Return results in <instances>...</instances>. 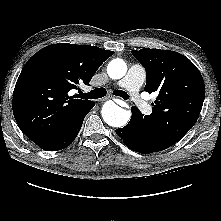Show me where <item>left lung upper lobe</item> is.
<instances>
[{
    "mask_svg": "<svg viewBox=\"0 0 221 221\" xmlns=\"http://www.w3.org/2000/svg\"><path fill=\"white\" fill-rule=\"evenodd\" d=\"M131 53L146 69L145 91L157 92L150 115L142 116L155 144L166 149L182 139L201 112L205 85L197 67L185 56L149 48Z\"/></svg>",
    "mask_w": 221,
    "mask_h": 221,
    "instance_id": "1",
    "label": "left lung upper lobe"
}]
</instances>
